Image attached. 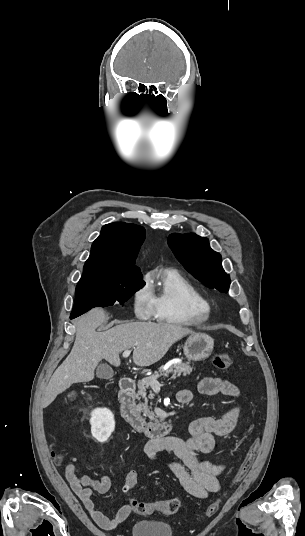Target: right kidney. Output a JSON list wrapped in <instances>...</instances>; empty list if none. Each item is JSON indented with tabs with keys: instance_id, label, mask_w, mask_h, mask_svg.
Here are the masks:
<instances>
[{
	"instance_id": "1",
	"label": "right kidney",
	"mask_w": 305,
	"mask_h": 536,
	"mask_svg": "<svg viewBox=\"0 0 305 536\" xmlns=\"http://www.w3.org/2000/svg\"><path fill=\"white\" fill-rule=\"evenodd\" d=\"M91 434L98 442H107L115 430L114 416L110 410H94L91 414Z\"/></svg>"
}]
</instances>
